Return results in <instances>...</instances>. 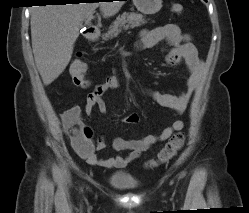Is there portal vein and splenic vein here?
I'll return each instance as SVG.
<instances>
[{
	"label": "portal vein and splenic vein",
	"mask_w": 249,
	"mask_h": 213,
	"mask_svg": "<svg viewBox=\"0 0 249 213\" xmlns=\"http://www.w3.org/2000/svg\"><path fill=\"white\" fill-rule=\"evenodd\" d=\"M92 18H93L92 15L88 16V17L86 18L85 22H86L87 24H89V23L91 22Z\"/></svg>",
	"instance_id": "obj_1"
}]
</instances>
